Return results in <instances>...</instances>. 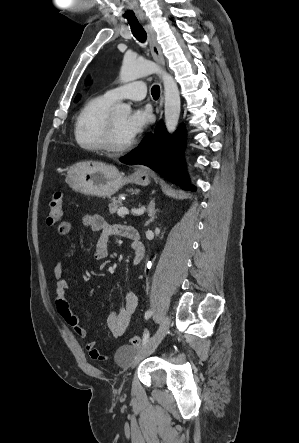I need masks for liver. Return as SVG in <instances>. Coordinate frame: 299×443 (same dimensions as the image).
Returning a JSON list of instances; mask_svg holds the SVG:
<instances>
[{"mask_svg": "<svg viewBox=\"0 0 299 443\" xmlns=\"http://www.w3.org/2000/svg\"><path fill=\"white\" fill-rule=\"evenodd\" d=\"M87 163H91V162H87ZM93 164H102V163H97V162H92Z\"/></svg>", "mask_w": 299, "mask_h": 443, "instance_id": "obj_1", "label": "liver"}]
</instances>
